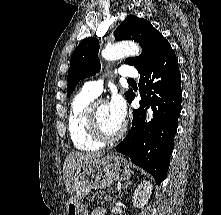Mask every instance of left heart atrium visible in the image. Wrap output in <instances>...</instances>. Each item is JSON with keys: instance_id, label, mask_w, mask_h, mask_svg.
<instances>
[{"instance_id": "obj_1", "label": "left heart atrium", "mask_w": 221, "mask_h": 215, "mask_svg": "<svg viewBox=\"0 0 221 215\" xmlns=\"http://www.w3.org/2000/svg\"><path fill=\"white\" fill-rule=\"evenodd\" d=\"M110 112L119 124H123L126 117V104L120 95H114L108 103Z\"/></svg>"}]
</instances>
